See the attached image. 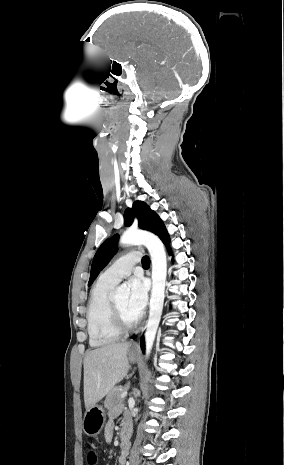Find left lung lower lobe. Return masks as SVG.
<instances>
[{
    "label": "left lung lower lobe",
    "mask_w": 284,
    "mask_h": 465,
    "mask_svg": "<svg viewBox=\"0 0 284 465\" xmlns=\"http://www.w3.org/2000/svg\"><path fill=\"white\" fill-rule=\"evenodd\" d=\"M163 243L166 245L168 251H170V247H169L170 239H169V236H167V237L163 240ZM141 348H142L143 351L145 350V344H144V339H143V337L141 338Z\"/></svg>",
    "instance_id": "left-lung-lower-lobe-1"
}]
</instances>
